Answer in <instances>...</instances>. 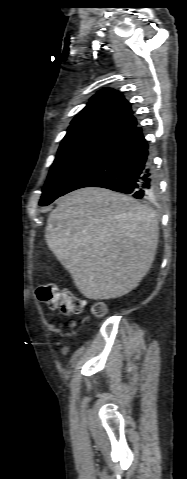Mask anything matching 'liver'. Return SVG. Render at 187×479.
Segmentation results:
<instances>
[{
	"instance_id": "obj_1",
	"label": "liver",
	"mask_w": 187,
	"mask_h": 479,
	"mask_svg": "<svg viewBox=\"0 0 187 479\" xmlns=\"http://www.w3.org/2000/svg\"><path fill=\"white\" fill-rule=\"evenodd\" d=\"M45 238L86 298L114 299L134 290L151 268L158 219L129 196L83 188L58 200Z\"/></svg>"
}]
</instances>
